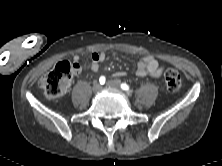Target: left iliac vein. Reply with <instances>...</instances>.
Returning a JSON list of instances; mask_svg holds the SVG:
<instances>
[{"mask_svg": "<svg viewBox=\"0 0 222 166\" xmlns=\"http://www.w3.org/2000/svg\"><path fill=\"white\" fill-rule=\"evenodd\" d=\"M106 85L113 89H120L119 81L117 80H109ZM129 93V92H128Z\"/></svg>", "mask_w": 222, "mask_h": 166, "instance_id": "1", "label": "left iliac vein"}]
</instances>
